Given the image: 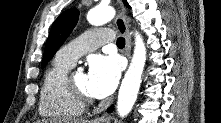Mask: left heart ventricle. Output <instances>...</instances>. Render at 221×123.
I'll use <instances>...</instances> for the list:
<instances>
[{"mask_svg":"<svg viewBox=\"0 0 221 123\" xmlns=\"http://www.w3.org/2000/svg\"><path fill=\"white\" fill-rule=\"evenodd\" d=\"M73 81L81 91L94 97L90 91L88 76L86 73L77 72L73 74Z\"/></svg>","mask_w":221,"mask_h":123,"instance_id":"obj_1","label":"left heart ventricle"}]
</instances>
